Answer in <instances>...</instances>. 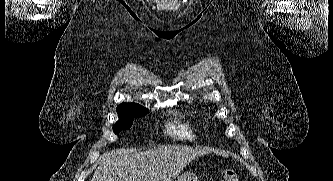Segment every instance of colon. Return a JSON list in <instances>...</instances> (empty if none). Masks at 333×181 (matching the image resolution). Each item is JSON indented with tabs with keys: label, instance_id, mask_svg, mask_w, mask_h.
Here are the masks:
<instances>
[{
	"label": "colon",
	"instance_id": "colon-1",
	"mask_svg": "<svg viewBox=\"0 0 333 181\" xmlns=\"http://www.w3.org/2000/svg\"><path fill=\"white\" fill-rule=\"evenodd\" d=\"M224 181H239L236 172L230 168H226L223 171Z\"/></svg>",
	"mask_w": 333,
	"mask_h": 181
}]
</instances>
